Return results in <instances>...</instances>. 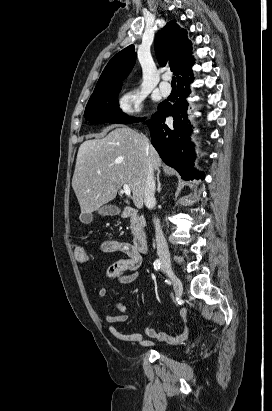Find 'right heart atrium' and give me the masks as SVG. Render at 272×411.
<instances>
[{"label": "right heart atrium", "instance_id": "d8ad5b80", "mask_svg": "<svg viewBox=\"0 0 272 411\" xmlns=\"http://www.w3.org/2000/svg\"><path fill=\"white\" fill-rule=\"evenodd\" d=\"M144 97L134 89L125 91L118 100L119 111L127 116H138L142 112Z\"/></svg>", "mask_w": 272, "mask_h": 411}]
</instances>
